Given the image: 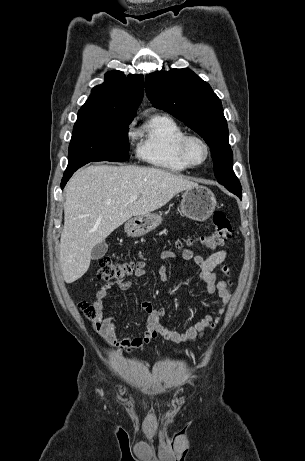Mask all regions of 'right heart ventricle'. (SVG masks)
<instances>
[{
	"instance_id": "obj_1",
	"label": "right heart ventricle",
	"mask_w": 305,
	"mask_h": 461,
	"mask_svg": "<svg viewBox=\"0 0 305 461\" xmlns=\"http://www.w3.org/2000/svg\"><path fill=\"white\" fill-rule=\"evenodd\" d=\"M186 130L172 117L155 114L137 132V155L143 161L172 172L189 168L179 153Z\"/></svg>"
}]
</instances>
